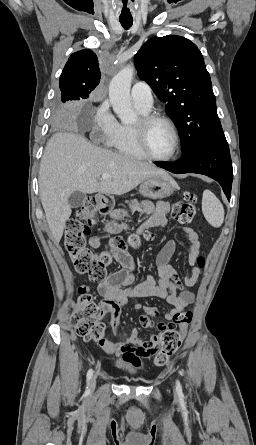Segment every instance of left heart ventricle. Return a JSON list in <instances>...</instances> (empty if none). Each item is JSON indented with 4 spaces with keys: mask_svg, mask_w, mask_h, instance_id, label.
I'll return each mask as SVG.
<instances>
[{
    "mask_svg": "<svg viewBox=\"0 0 256 445\" xmlns=\"http://www.w3.org/2000/svg\"><path fill=\"white\" fill-rule=\"evenodd\" d=\"M147 143L154 155L158 157L170 155L174 148V135L172 130L163 122L151 124L147 130Z\"/></svg>",
    "mask_w": 256,
    "mask_h": 445,
    "instance_id": "left-heart-ventricle-1",
    "label": "left heart ventricle"
}]
</instances>
